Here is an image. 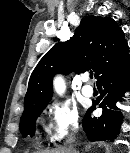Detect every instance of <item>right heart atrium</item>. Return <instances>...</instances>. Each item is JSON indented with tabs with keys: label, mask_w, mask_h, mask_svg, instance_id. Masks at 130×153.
Segmentation results:
<instances>
[{
	"label": "right heart atrium",
	"mask_w": 130,
	"mask_h": 153,
	"mask_svg": "<svg viewBox=\"0 0 130 153\" xmlns=\"http://www.w3.org/2000/svg\"><path fill=\"white\" fill-rule=\"evenodd\" d=\"M51 141L59 143L72 135L79 127V113L68 102L54 101L49 106Z\"/></svg>",
	"instance_id": "right-heart-atrium-1"
}]
</instances>
